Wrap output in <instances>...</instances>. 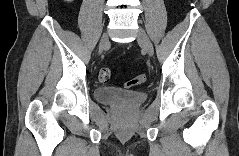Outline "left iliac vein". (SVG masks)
I'll list each match as a JSON object with an SVG mask.
<instances>
[{
	"label": "left iliac vein",
	"mask_w": 239,
	"mask_h": 156,
	"mask_svg": "<svg viewBox=\"0 0 239 156\" xmlns=\"http://www.w3.org/2000/svg\"><path fill=\"white\" fill-rule=\"evenodd\" d=\"M137 41L139 44L142 45V47L145 49V51L148 53L149 56H153L154 54V48L153 45L145 33V31L142 28H139L137 33Z\"/></svg>",
	"instance_id": "4c4485c4"
}]
</instances>
